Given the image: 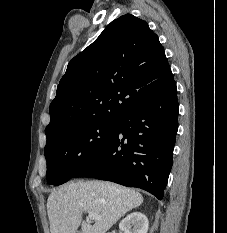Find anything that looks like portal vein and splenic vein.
I'll use <instances>...</instances> for the list:
<instances>
[{
  "mask_svg": "<svg viewBox=\"0 0 227 233\" xmlns=\"http://www.w3.org/2000/svg\"><path fill=\"white\" fill-rule=\"evenodd\" d=\"M88 216L91 220H100L101 217H99L97 214L93 213V212H89Z\"/></svg>",
  "mask_w": 227,
  "mask_h": 233,
  "instance_id": "obj_1",
  "label": "portal vein and splenic vein"
}]
</instances>
